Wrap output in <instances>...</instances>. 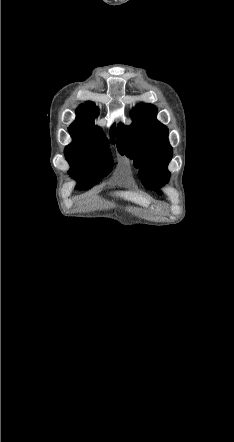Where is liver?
Returning a JSON list of instances; mask_svg holds the SVG:
<instances>
[{
	"label": "liver",
	"instance_id": "1",
	"mask_svg": "<svg viewBox=\"0 0 234 442\" xmlns=\"http://www.w3.org/2000/svg\"><path fill=\"white\" fill-rule=\"evenodd\" d=\"M115 195L144 206L148 204L145 198L133 192H116Z\"/></svg>",
	"mask_w": 234,
	"mask_h": 442
}]
</instances>
